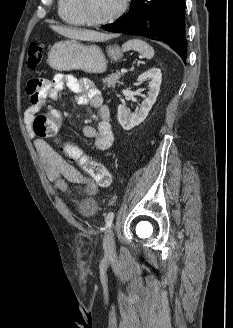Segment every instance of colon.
Wrapping results in <instances>:
<instances>
[{"instance_id": "colon-1", "label": "colon", "mask_w": 233, "mask_h": 328, "mask_svg": "<svg viewBox=\"0 0 233 328\" xmlns=\"http://www.w3.org/2000/svg\"><path fill=\"white\" fill-rule=\"evenodd\" d=\"M43 59V47L37 43H31L26 58V67L36 69ZM62 116L59 112H40L33 118V132L40 138L56 136L61 125ZM59 151L72 162L81 164L85 170L96 180L100 186H108L111 183L109 171L101 164L89 161L80 150L72 145L59 144Z\"/></svg>"}]
</instances>
